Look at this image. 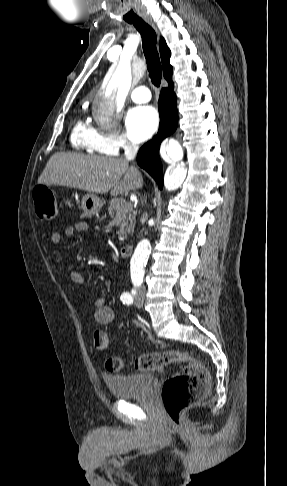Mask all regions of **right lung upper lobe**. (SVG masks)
I'll list each match as a JSON object with an SVG mask.
<instances>
[{
  "label": "right lung upper lobe",
  "mask_w": 287,
  "mask_h": 486,
  "mask_svg": "<svg viewBox=\"0 0 287 486\" xmlns=\"http://www.w3.org/2000/svg\"><path fill=\"white\" fill-rule=\"evenodd\" d=\"M159 47L163 66V74L165 79L169 82L172 81V66L169 63L171 52L163 38L160 39Z\"/></svg>",
  "instance_id": "right-lung-upper-lobe-1"
}]
</instances>
